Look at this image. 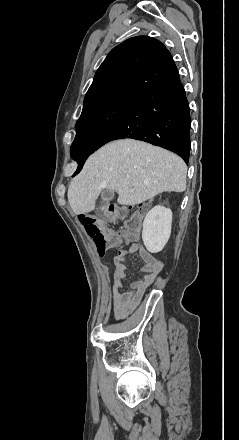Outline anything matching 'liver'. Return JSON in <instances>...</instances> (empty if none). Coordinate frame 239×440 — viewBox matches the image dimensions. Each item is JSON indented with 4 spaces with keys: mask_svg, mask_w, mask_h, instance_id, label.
<instances>
[{
    "mask_svg": "<svg viewBox=\"0 0 239 440\" xmlns=\"http://www.w3.org/2000/svg\"><path fill=\"white\" fill-rule=\"evenodd\" d=\"M187 166L179 156L138 140H116L92 154L69 184L74 214L95 210L102 190L118 192V204L136 206L161 192H185Z\"/></svg>",
    "mask_w": 239,
    "mask_h": 440,
    "instance_id": "liver-1",
    "label": "liver"
}]
</instances>
